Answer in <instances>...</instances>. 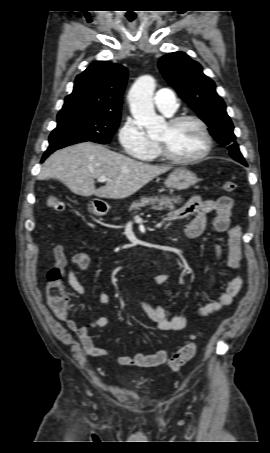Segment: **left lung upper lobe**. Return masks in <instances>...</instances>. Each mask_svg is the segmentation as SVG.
<instances>
[{
  "instance_id": "5c2ea615",
  "label": "left lung upper lobe",
  "mask_w": 270,
  "mask_h": 453,
  "mask_svg": "<svg viewBox=\"0 0 270 453\" xmlns=\"http://www.w3.org/2000/svg\"><path fill=\"white\" fill-rule=\"evenodd\" d=\"M158 67L167 82L209 126L215 140L227 145L231 157L247 166L235 142L234 126L225 103L216 93L215 83L202 72L201 65L183 52H174L161 57Z\"/></svg>"
}]
</instances>
